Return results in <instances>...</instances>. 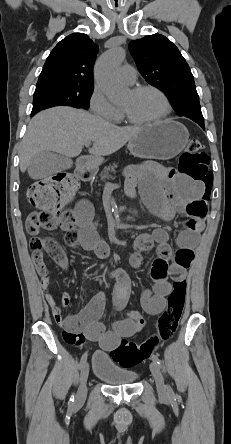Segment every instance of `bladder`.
Returning <instances> with one entry per match:
<instances>
[{
	"label": "bladder",
	"instance_id": "obj_1",
	"mask_svg": "<svg viewBox=\"0 0 231 444\" xmlns=\"http://www.w3.org/2000/svg\"><path fill=\"white\" fill-rule=\"evenodd\" d=\"M93 375L109 385L122 386L134 383L138 373L116 363L108 354L98 351L93 355Z\"/></svg>",
	"mask_w": 231,
	"mask_h": 444
}]
</instances>
